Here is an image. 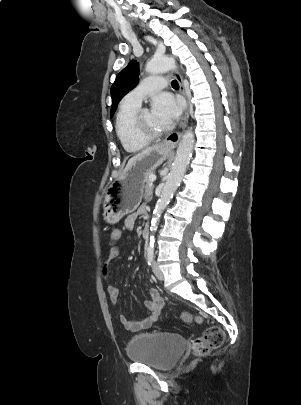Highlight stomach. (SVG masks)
Wrapping results in <instances>:
<instances>
[{
  "label": "stomach",
  "mask_w": 301,
  "mask_h": 405,
  "mask_svg": "<svg viewBox=\"0 0 301 405\" xmlns=\"http://www.w3.org/2000/svg\"><path fill=\"white\" fill-rule=\"evenodd\" d=\"M170 153L171 149L159 145L134 161L122 176L111 184L104 199L105 220L116 223L124 215L136 210L142 200L148 176Z\"/></svg>",
  "instance_id": "1"
}]
</instances>
